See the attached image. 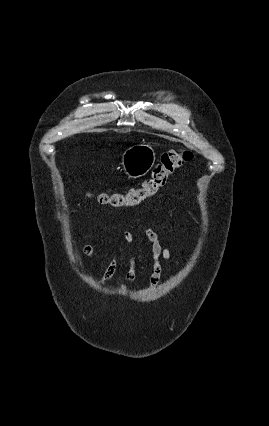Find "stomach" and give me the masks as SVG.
Wrapping results in <instances>:
<instances>
[{"label":"stomach","instance_id":"1","mask_svg":"<svg viewBox=\"0 0 269 426\" xmlns=\"http://www.w3.org/2000/svg\"><path fill=\"white\" fill-rule=\"evenodd\" d=\"M156 153L149 144L129 147L122 155L121 165L125 174L132 179L145 176L154 166Z\"/></svg>","mask_w":269,"mask_h":426}]
</instances>
